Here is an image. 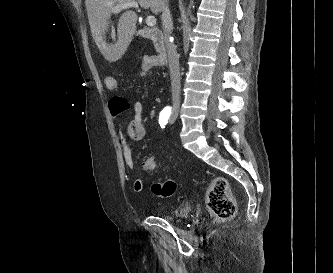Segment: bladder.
<instances>
[{"instance_id":"obj_1","label":"bladder","mask_w":333,"mask_h":273,"mask_svg":"<svg viewBox=\"0 0 333 273\" xmlns=\"http://www.w3.org/2000/svg\"><path fill=\"white\" fill-rule=\"evenodd\" d=\"M190 212H191V207L188 203H179L173 208L172 214L167 215L166 218L169 220L186 218L190 215Z\"/></svg>"}]
</instances>
